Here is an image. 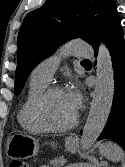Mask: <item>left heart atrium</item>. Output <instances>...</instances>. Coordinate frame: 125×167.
<instances>
[{
    "label": "left heart atrium",
    "instance_id": "1",
    "mask_svg": "<svg viewBox=\"0 0 125 167\" xmlns=\"http://www.w3.org/2000/svg\"><path fill=\"white\" fill-rule=\"evenodd\" d=\"M65 96L72 109L76 112L81 104V95L77 87L75 85L69 86L65 90Z\"/></svg>",
    "mask_w": 125,
    "mask_h": 167
}]
</instances>
